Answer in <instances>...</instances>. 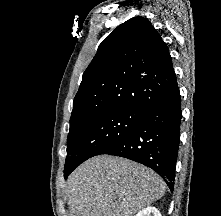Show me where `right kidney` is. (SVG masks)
I'll return each instance as SVG.
<instances>
[{"label": "right kidney", "instance_id": "ca27d5eb", "mask_svg": "<svg viewBox=\"0 0 221 216\" xmlns=\"http://www.w3.org/2000/svg\"><path fill=\"white\" fill-rule=\"evenodd\" d=\"M135 216H161V214L155 207H147L139 211Z\"/></svg>", "mask_w": 221, "mask_h": 216}]
</instances>
